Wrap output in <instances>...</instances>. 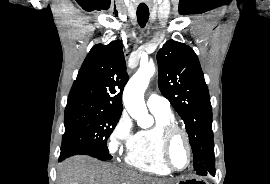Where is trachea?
Masks as SVG:
<instances>
[{"label": "trachea", "mask_w": 270, "mask_h": 184, "mask_svg": "<svg viewBox=\"0 0 270 184\" xmlns=\"http://www.w3.org/2000/svg\"><path fill=\"white\" fill-rule=\"evenodd\" d=\"M149 19L148 9H137V21L141 27H144Z\"/></svg>", "instance_id": "3493384b"}]
</instances>
